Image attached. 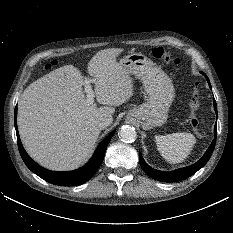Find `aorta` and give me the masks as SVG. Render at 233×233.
<instances>
[{"label": "aorta", "mask_w": 233, "mask_h": 233, "mask_svg": "<svg viewBox=\"0 0 233 233\" xmlns=\"http://www.w3.org/2000/svg\"><path fill=\"white\" fill-rule=\"evenodd\" d=\"M119 137L123 142H134L137 138V132L134 127L124 125L120 128Z\"/></svg>", "instance_id": "aorta-1"}]
</instances>
